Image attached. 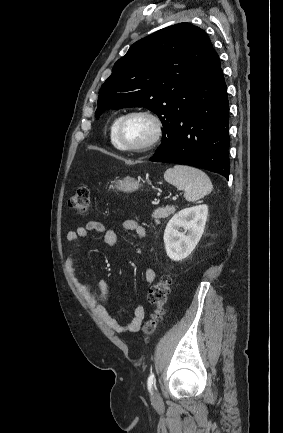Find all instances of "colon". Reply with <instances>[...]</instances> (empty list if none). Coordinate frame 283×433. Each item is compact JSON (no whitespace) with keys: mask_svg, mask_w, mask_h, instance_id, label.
<instances>
[{"mask_svg":"<svg viewBox=\"0 0 283 433\" xmlns=\"http://www.w3.org/2000/svg\"><path fill=\"white\" fill-rule=\"evenodd\" d=\"M69 206L79 214H87L91 208L90 190L87 187H78L69 199ZM171 279L168 276L161 277L148 292V301L154 307L150 319L143 326L145 338L151 335L157 323L164 314V308L171 291Z\"/></svg>","mask_w":283,"mask_h":433,"instance_id":"obj_1","label":"colon"}]
</instances>
